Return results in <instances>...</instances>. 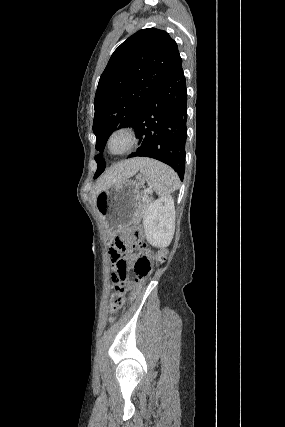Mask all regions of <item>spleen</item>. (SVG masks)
<instances>
[{"mask_svg": "<svg viewBox=\"0 0 285 427\" xmlns=\"http://www.w3.org/2000/svg\"><path fill=\"white\" fill-rule=\"evenodd\" d=\"M148 186L152 188L160 197L169 196L178 190L180 181L175 171L156 160L146 159L140 168Z\"/></svg>", "mask_w": 285, "mask_h": 427, "instance_id": "spleen-1", "label": "spleen"}]
</instances>
